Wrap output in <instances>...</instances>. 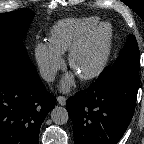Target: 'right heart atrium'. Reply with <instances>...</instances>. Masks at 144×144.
<instances>
[{"mask_svg":"<svg viewBox=\"0 0 144 144\" xmlns=\"http://www.w3.org/2000/svg\"><path fill=\"white\" fill-rule=\"evenodd\" d=\"M34 57L41 75L48 81L54 80L57 72L64 67V59L50 43H38Z\"/></svg>","mask_w":144,"mask_h":144,"instance_id":"d8ad5b80","label":"right heart atrium"}]
</instances>
